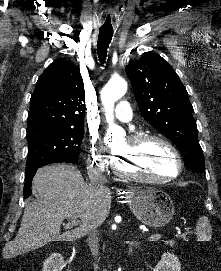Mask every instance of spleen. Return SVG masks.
Here are the masks:
<instances>
[{
  "label": "spleen",
  "instance_id": "3e777b00",
  "mask_svg": "<svg viewBox=\"0 0 221 271\" xmlns=\"http://www.w3.org/2000/svg\"><path fill=\"white\" fill-rule=\"evenodd\" d=\"M196 231H197V241H210L211 239V223L206 217V215H202L199 217L196 223Z\"/></svg>",
  "mask_w": 221,
  "mask_h": 271
}]
</instances>
